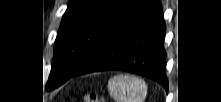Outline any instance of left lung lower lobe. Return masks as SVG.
Listing matches in <instances>:
<instances>
[{"label":"left lung lower lobe","instance_id":"obj_1","mask_svg":"<svg viewBox=\"0 0 221 102\" xmlns=\"http://www.w3.org/2000/svg\"><path fill=\"white\" fill-rule=\"evenodd\" d=\"M166 25L158 0H137L72 77L105 70L143 75L166 91Z\"/></svg>","mask_w":221,"mask_h":102}]
</instances>
